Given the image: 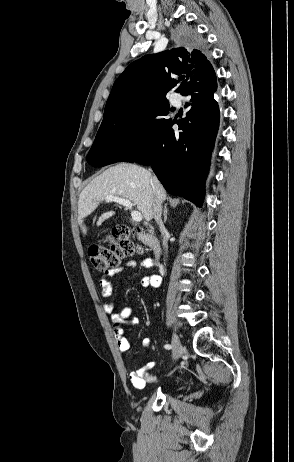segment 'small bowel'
<instances>
[{
	"mask_svg": "<svg viewBox=\"0 0 294 462\" xmlns=\"http://www.w3.org/2000/svg\"><path fill=\"white\" fill-rule=\"evenodd\" d=\"M140 265L144 268H152L154 266H159L154 263L152 259L143 260ZM137 266L136 261H129L126 264L127 269H134ZM123 270L122 267H117L110 271H107L106 274L100 280L101 286V295L104 298H110L113 294V283L111 278L116 274L120 273ZM162 283V277L158 274H153L145 276L141 280V284L144 287H154L157 288ZM104 310L110 315L111 321L114 323L113 333L119 350L122 353H127L130 348V343L124 335V329L122 323H127L133 326L138 324V319L132 317V310L130 307H124L120 311H115L114 303L112 300H108L103 304ZM142 346L146 350H150L151 341L149 339H144L142 341ZM155 361H149L144 366L132 370L129 373V379L132 385L137 389H142L147 383L153 382L156 380V377L151 374L152 369L155 367Z\"/></svg>",
	"mask_w": 294,
	"mask_h": 462,
	"instance_id": "obj_1",
	"label": "small bowel"
}]
</instances>
